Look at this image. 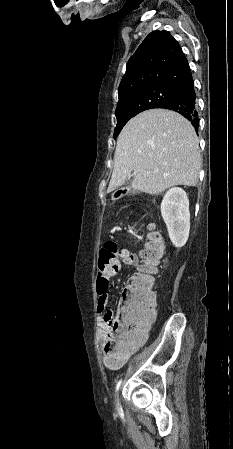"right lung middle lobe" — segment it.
Returning <instances> with one entry per match:
<instances>
[{
    "label": "right lung middle lobe",
    "instance_id": "dd1d6c3e",
    "mask_svg": "<svg viewBox=\"0 0 233 449\" xmlns=\"http://www.w3.org/2000/svg\"><path fill=\"white\" fill-rule=\"evenodd\" d=\"M179 96L177 87L156 85L137 90L119 97L116 108L117 125L114 132L116 138L124 125L138 113L157 108L160 104Z\"/></svg>",
    "mask_w": 233,
    "mask_h": 449
}]
</instances>
